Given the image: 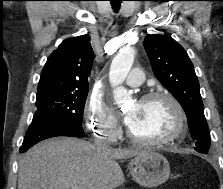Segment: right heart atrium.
Wrapping results in <instances>:
<instances>
[{
  "label": "right heart atrium",
  "instance_id": "obj_1",
  "mask_svg": "<svg viewBox=\"0 0 223 189\" xmlns=\"http://www.w3.org/2000/svg\"><path fill=\"white\" fill-rule=\"evenodd\" d=\"M84 115L94 136L112 140L118 130V120L112 109L100 98L93 97L85 106Z\"/></svg>",
  "mask_w": 223,
  "mask_h": 189
}]
</instances>
